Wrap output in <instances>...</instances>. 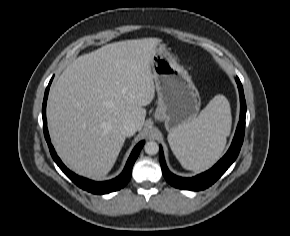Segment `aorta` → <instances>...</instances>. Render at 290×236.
I'll return each instance as SVG.
<instances>
[{
    "label": "aorta",
    "mask_w": 290,
    "mask_h": 236,
    "mask_svg": "<svg viewBox=\"0 0 290 236\" xmlns=\"http://www.w3.org/2000/svg\"><path fill=\"white\" fill-rule=\"evenodd\" d=\"M144 150L148 155H155L159 151V145L155 141H149L144 145Z\"/></svg>",
    "instance_id": "obj_1"
}]
</instances>
